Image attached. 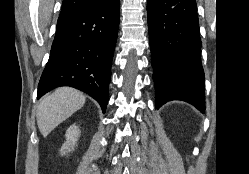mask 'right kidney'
I'll return each mask as SVG.
<instances>
[{"label":"right kidney","mask_w":249,"mask_h":174,"mask_svg":"<svg viewBox=\"0 0 249 174\" xmlns=\"http://www.w3.org/2000/svg\"><path fill=\"white\" fill-rule=\"evenodd\" d=\"M79 135H80V131H79L78 126L72 125L67 129L66 134H65L66 142L63 144L60 150V153L62 155L74 149Z\"/></svg>","instance_id":"obj_1"}]
</instances>
